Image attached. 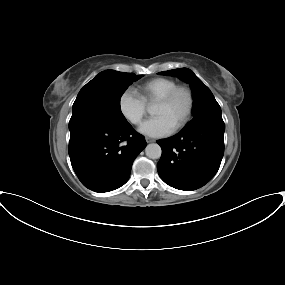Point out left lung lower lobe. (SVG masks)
<instances>
[{"label": "left lung lower lobe", "instance_id": "obj_1", "mask_svg": "<svg viewBox=\"0 0 285 285\" xmlns=\"http://www.w3.org/2000/svg\"><path fill=\"white\" fill-rule=\"evenodd\" d=\"M224 131L223 120H202L172 137L158 140L162 148L157 164L161 179L185 191L208 183L224 154Z\"/></svg>", "mask_w": 285, "mask_h": 285}]
</instances>
